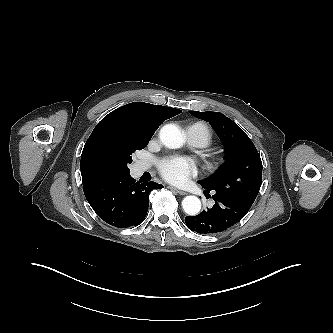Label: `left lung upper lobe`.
<instances>
[{"label": "left lung upper lobe", "mask_w": 333, "mask_h": 333, "mask_svg": "<svg viewBox=\"0 0 333 333\" xmlns=\"http://www.w3.org/2000/svg\"><path fill=\"white\" fill-rule=\"evenodd\" d=\"M190 113L211 124L226 149V162L207 179L206 189L252 205L262 183V162L251 139L228 117L219 112Z\"/></svg>", "instance_id": "obj_1"}]
</instances>
